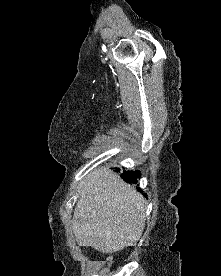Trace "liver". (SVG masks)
Here are the masks:
<instances>
[{
    "label": "liver",
    "mask_w": 221,
    "mask_h": 276,
    "mask_svg": "<svg viewBox=\"0 0 221 276\" xmlns=\"http://www.w3.org/2000/svg\"><path fill=\"white\" fill-rule=\"evenodd\" d=\"M145 211L146 202L134 187L111 169H95L83 180L74 210L76 241L103 253L133 246L143 233Z\"/></svg>",
    "instance_id": "obj_1"
}]
</instances>
